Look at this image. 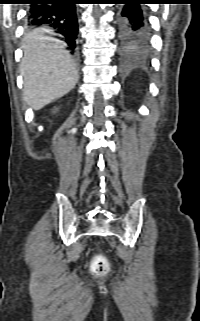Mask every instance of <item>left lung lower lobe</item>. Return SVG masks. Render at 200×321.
<instances>
[{
  "label": "left lung lower lobe",
  "instance_id": "0a47b994",
  "mask_svg": "<svg viewBox=\"0 0 200 321\" xmlns=\"http://www.w3.org/2000/svg\"><path fill=\"white\" fill-rule=\"evenodd\" d=\"M150 2L151 0H119L118 4H122L117 13L119 38L126 53L141 54L148 50L149 31L140 5Z\"/></svg>",
  "mask_w": 200,
  "mask_h": 321
}]
</instances>
